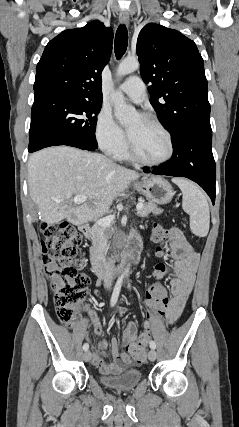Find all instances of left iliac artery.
<instances>
[{
    "label": "left iliac artery",
    "instance_id": "1",
    "mask_svg": "<svg viewBox=\"0 0 239 427\" xmlns=\"http://www.w3.org/2000/svg\"><path fill=\"white\" fill-rule=\"evenodd\" d=\"M128 287L130 288V283L128 284ZM150 348L151 349H155L156 348V343L154 341H150Z\"/></svg>",
    "mask_w": 239,
    "mask_h": 427
}]
</instances>
